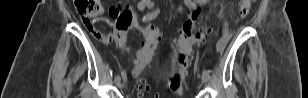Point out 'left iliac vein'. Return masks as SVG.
Returning a JSON list of instances; mask_svg holds the SVG:
<instances>
[{"instance_id": "left-iliac-vein-1", "label": "left iliac vein", "mask_w": 308, "mask_h": 98, "mask_svg": "<svg viewBox=\"0 0 308 98\" xmlns=\"http://www.w3.org/2000/svg\"><path fill=\"white\" fill-rule=\"evenodd\" d=\"M208 79L205 75H202V82H206Z\"/></svg>"}]
</instances>
